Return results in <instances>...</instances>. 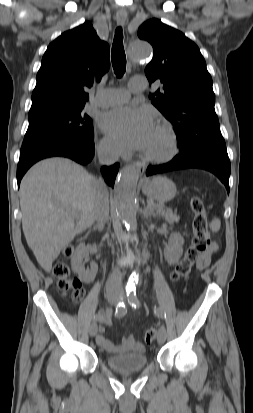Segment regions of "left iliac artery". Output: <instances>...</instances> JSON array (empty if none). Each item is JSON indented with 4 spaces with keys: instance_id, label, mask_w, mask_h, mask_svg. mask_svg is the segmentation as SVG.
I'll return each mask as SVG.
<instances>
[{
    "instance_id": "obj_1",
    "label": "left iliac artery",
    "mask_w": 253,
    "mask_h": 413,
    "mask_svg": "<svg viewBox=\"0 0 253 413\" xmlns=\"http://www.w3.org/2000/svg\"><path fill=\"white\" fill-rule=\"evenodd\" d=\"M127 297H128V303L133 307V308H137L140 304L138 298H137V294H136V290L135 288H132L130 290L127 291ZM155 314L159 317H162V312L160 310H155Z\"/></svg>"
}]
</instances>
